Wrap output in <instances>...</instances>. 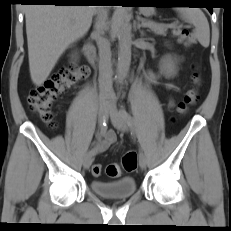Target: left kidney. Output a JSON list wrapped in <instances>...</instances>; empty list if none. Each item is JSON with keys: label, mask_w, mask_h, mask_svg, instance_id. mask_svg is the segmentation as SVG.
<instances>
[{"label": "left kidney", "mask_w": 231, "mask_h": 231, "mask_svg": "<svg viewBox=\"0 0 231 231\" xmlns=\"http://www.w3.org/2000/svg\"><path fill=\"white\" fill-rule=\"evenodd\" d=\"M160 69L166 76H174L176 74V59L170 55L165 56Z\"/></svg>", "instance_id": "obj_1"}]
</instances>
